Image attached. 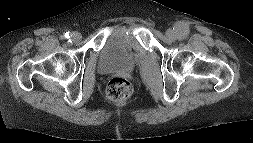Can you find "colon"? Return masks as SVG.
Returning a JSON list of instances; mask_svg holds the SVG:
<instances>
[{
  "mask_svg": "<svg viewBox=\"0 0 253 143\" xmlns=\"http://www.w3.org/2000/svg\"><path fill=\"white\" fill-rule=\"evenodd\" d=\"M132 93L130 82L123 77L111 79L106 88L107 97L111 101L122 102L129 98Z\"/></svg>",
  "mask_w": 253,
  "mask_h": 143,
  "instance_id": "1",
  "label": "colon"
}]
</instances>
